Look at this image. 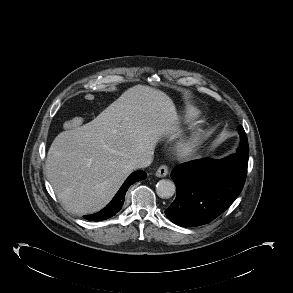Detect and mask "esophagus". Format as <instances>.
Masks as SVG:
<instances>
[{
    "label": "esophagus",
    "instance_id": "obj_1",
    "mask_svg": "<svg viewBox=\"0 0 293 293\" xmlns=\"http://www.w3.org/2000/svg\"><path fill=\"white\" fill-rule=\"evenodd\" d=\"M168 173H169L168 167H167L166 165H161V166L157 169V171L155 172V175H156L157 177H161V178H162V177L167 176Z\"/></svg>",
    "mask_w": 293,
    "mask_h": 293
}]
</instances>
